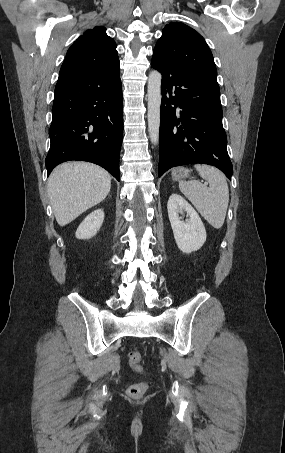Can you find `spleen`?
<instances>
[{
	"mask_svg": "<svg viewBox=\"0 0 285 453\" xmlns=\"http://www.w3.org/2000/svg\"><path fill=\"white\" fill-rule=\"evenodd\" d=\"M194 167L209 183V187L195 180L181 181L180 191L211 226L220 229L224 224L229 203L226 177L212 166L195 165Z\"/></svg>",
	"mask_w": 285,
	"mask_h": 453,
	"instance_id": "1",
	"label": "spleen"
}]
</instances>
